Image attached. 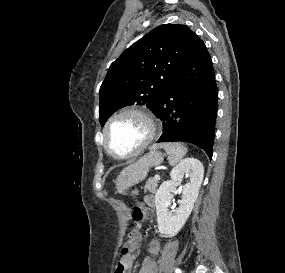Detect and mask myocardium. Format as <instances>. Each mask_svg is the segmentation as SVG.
Wrapping results in <instances>:
<instances>
[{"label":"myocardium","mask_w":285,"mask_h":273,"mask_svg":"<svg viewBox=\"0 0 285 273\" xmlns=\"http://www.w3.org/2000/svg\"><path fill=\"white\" fill-rule=\"evenodd\" d=\"M125 115H136L139 118H141L147 125L148 132L145 137V139L130 153L128 154H117L113 152L108 144L107 141V134L110 126L112 123L117 120L118 118L125 116ZM160 126L159 122L156 118V116L148 109L143 108V107H136V106H131V107H126L115 114H113L108 121L106 122L103 131H102V137H103V146L105 150L113 157L118 158V159H127L131 158L137 154H139L142 150H144L157 136L159 132Z\"/></svg>","instance_id":"f54148a6"}]
</instances>
